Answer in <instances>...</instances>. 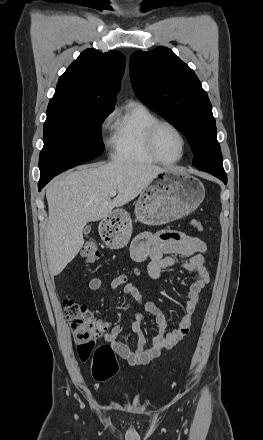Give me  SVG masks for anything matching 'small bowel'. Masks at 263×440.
Listing matches in <instances>:
<instances>
[{
  "mask_svg": "<svg viewBox=\"0 0 263 440\" xmlns=\"http://www.w3.org/2000/svg\"><path fill=\"white\" fill-rule=\"evenodd\" d=\"M207 250V245L202 240L184 232L171 230L157 233L143 232L135 237L130 248L131 257L137 262L150 260L147 266L150 278L158 280L163 269L177 268L192 272L194 281L188 290L184 314L176 326H170L160 308L153 302L144 301L137 287L128 282L126 274L116 276L110 283L111 291L114 292L122 287L123 293L132 297L141 309V312L135 315L131 326V331L138 338L134 349L119 340L123 330L121 325H113L109 320H96L100 334L106 342L111 344L117 355L132 365H146L160 357L164 349H172L184 338L189 332L196 307L200 301L201 291L210 281V273L204 265L205 258L203 256ZM176 256L186 259L182 261ZM102 284L101 278L92 277L88 281L87 289L99 291ZM143 312L153 315L156 322L150 346H146V339L141 330Z\"/></svg>",
  "mask_w": 263,
  "mask_h": 440,
  "instance_id": "1",
  "label": "small bowel"
}]
</instances>
